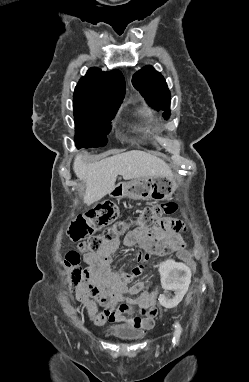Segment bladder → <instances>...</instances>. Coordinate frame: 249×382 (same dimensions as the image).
<instances>
[{
    "label": "bladder",
    "mask_w": 249,
    "mask_h": 382,
    "mask_svg": "<svg viewBox=\"0 0 249 382\" xmlns=\"http://www.w3.org/2000/svg\"><path fill=\"white\" fill-rule=\"evenodd\" d=\"M104 332L108 337L121 341H136L144 336L141 330L130 326H109Z\"/></svg>",
    "instance_id": "31cf9c89"
}]
</instances>
